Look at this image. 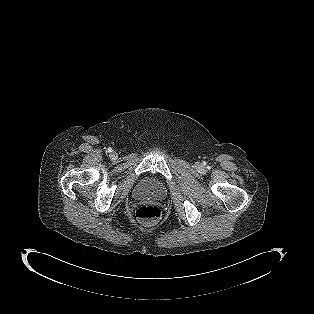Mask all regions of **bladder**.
Wrapping results in <instances>:
<instances>
[{"instance_id":"1","label":"bladder","mask_w":314,"mask_h":314,"mask_svg":"<svg viewBox=\"0 0 314 314\" xmlns=\"http://www.w3.org/2000/svg\"><path fill=\"white\" fill-rule=\"evenodd\" d=\"M138 191L143 196L161 199L164 197L166 189L161 181L149 179L139 186Z\"/></svg>"}]
</instances>
